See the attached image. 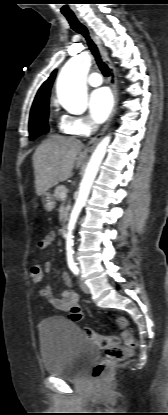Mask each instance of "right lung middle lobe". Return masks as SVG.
<instances>
[{
    "label": "right lung middle lobe",
    "mask_w": 168,
    "mask_h": 415,
    "mask_svg": "<svg viewBox=\"0 0 168 415\" xmlns=\"http://www.w3.org/2000/svg\"><path fill=\"white\" fill-rule=\"evenodd\" d=\"M49 107L48 105L30 112L29 132L30 140L48 132L47 124Z\"/></svg>",
    "instance_id": "1"
}]
</instances>
